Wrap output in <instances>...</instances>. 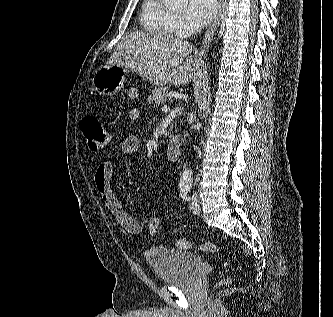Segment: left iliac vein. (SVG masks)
Instances as JSON below:
<instances>
[{
  "instance_id": "4c4485c4",
  "label": "left iliac vein",
  "mask_w": 333,
  "mask_h": 317,
  "mask_svg": "<svg viewBox=\"0 0 333 317\" xmlns=\"http://www.w3.org/2000/svg\"><path fill=\"white\" fill-rule=\"evenodd\" d=\"M190 208L194 214L200 213V203L196 194L192 197Z\"/></svg>"
}]
</instances>
